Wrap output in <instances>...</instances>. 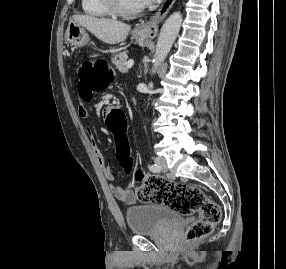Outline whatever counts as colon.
<instances>
[{"instance_id":"colon-1","label":"colon","mask_w":286,"mask_h":269,"mask_svg":"<svg viewBox=\"0 0 286 269\" xmlns=\"http://www.w3.org/2000/svg\"><path fill=\"white\" fill-rule=\"evenodd\" d=\"M93 59H100V54H93ZM78 89L84 98H91L104 89L112 80V74L103 60H87L78 67ZM106 126H110V134L114 137L113 155H117L121 167L127 173H133L132 186L142 201H150L165 205L182 214L199 213V219L192 223L186 231L185 239L193 242L208 236L221 218L217 203L208 198L196 186L173 182L163 177L145 174L140 163H133V142L128 132V111L124 108H110Z\"/></svg>"}]
</instances>
